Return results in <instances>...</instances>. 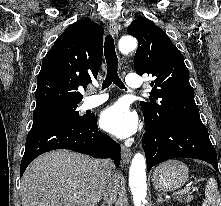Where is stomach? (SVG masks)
Returning <instances> with one entry per match:
<instances>
[{
    "label": "stomach",
    "instance_id": "1",
    "mask_svg": "<svg viewBox=\"0 0 221 206\" xmlns=\"http://www.w3.org/2000/svg\"><path fill=\"white\" fill-rule=\"evenodd\" d=\"M188 167L177 160L158 166L152 175L154 187L162 191H172L182 187L188 179Z\"/></svg>",
    "mask_w": 221,
    "mask_h": 206
}]
</instances>
